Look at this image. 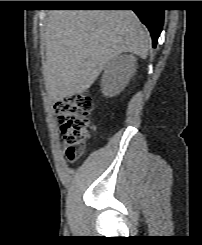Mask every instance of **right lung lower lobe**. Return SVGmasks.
I'll return each instance as SVG.
<instances>
[{
    "mask_svg": "<svg viewBox=\"0 0 202 245\" xmlns=\"http://www.w3.org/2000/svg\"><path fill=\"white\" fill-rule=\"evenodd\" d=\"M81 5L96 6V7L116 6V5L104 4V3H83ZM133 5L135 7L133 11L137 14L141 22L144 25H146V27L150 31L153 47L155 48L158 42V37L163 27L164 10L147 7L149 5L148 1H135Z\"/></svg>",
    "mask_w": 202,
    "mask_h": 245,
    "instance_id": "obj_1",
    "label": "right lung lower lobe"
}]
</instances>
